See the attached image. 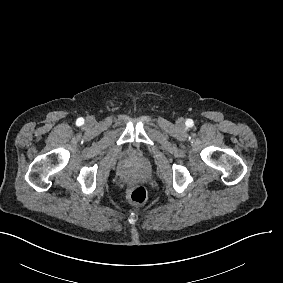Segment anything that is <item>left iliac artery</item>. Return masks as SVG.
<instances>
[{"mask_svg":"<svg viewBox=\"0 0 283 283\" xmlns=\"http://www.w3.org/2000/svg\"><path fill=\"white\" fill-rule=\"evenodd\" d=\"M186 126L192 127V126H193V120H192V119H188V120L186 121Z\"/></svg>","mask_w":283,"mask_h":283,"instance_id":"obj_1","label":"left iliac artery"}]
</instances>
